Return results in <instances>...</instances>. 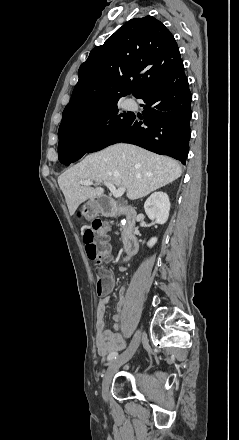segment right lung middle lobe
Returning a JSON list of instances; mask_svg holds the SVG:
<instances>
[{
    "mask_svg": "<svg viewBox=\"0 0 239 440\" xmlns=\"http://www.w3.org/2000/svg\"><path fill=\"white\" fill-rule=\"evenodd\" d=\"M119 99H113L95 111L61 122L58 150L62 147L90 145L99 136L125 123L133 113H120L117 109Z\"/></svg>",
    "mask_w": 239,
    "mask_h": 440,
    "instance_id": "obj_1",
    "label": "right lung middle lobe"
}]
</instances>
